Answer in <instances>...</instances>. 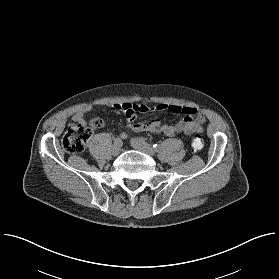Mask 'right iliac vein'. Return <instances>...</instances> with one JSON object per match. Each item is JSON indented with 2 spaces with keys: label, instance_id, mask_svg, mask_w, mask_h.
<instances>
[{
  "label": "right iliac vein",
  "instance_id": "1",
  "mask_svg": "<svg viewBox=\"0 0 279 279\" xmlns=\"http://www.w3.org/2000/svg\"><path fill=\"white\" fill-rule=\"evenodd\" d=\"M111 152L113 155H118L121 152V146L113 145Z\"/></svg>",
  "mask_w": 279,
  "mask_h": 279
}]
</instances>
